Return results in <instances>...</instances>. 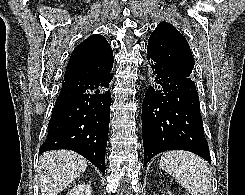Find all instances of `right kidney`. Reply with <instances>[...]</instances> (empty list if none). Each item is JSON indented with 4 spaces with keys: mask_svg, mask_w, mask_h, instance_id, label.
<instances>
[{
    "mask_svg": "<svg viewBox=\"0 0 245 195\" xmlns=\"http://www.w3.org/2000/svg\"><path fill=\"white\" fill-rule=\"evenodd\" d=\"M67 195H91V186L89 184L75 185Z\"/></svg>",
    "mask_w": 245,
    "mask_h": 195,
    "instance_id": "ca27d5eb",
    "label": "right kidney"
}]
</instances>
